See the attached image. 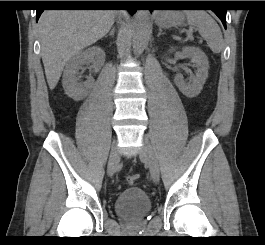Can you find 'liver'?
<instances>
[{"mask_svg":"<svg viewBox=\"0 0 265 245\" xmlns=\"http://www.w3.org/2000/svg\"><path fill=\"white\" fill-rule=\"evenodd\" d=\"M111 10H47L38 22L41 56L49 88L53 90L66 63L83 48L104 37L115 17Z\"/></svg>","mask_w":265,"mask_h":245,"instance_id":"1","label":"liver"}]
</instances>
